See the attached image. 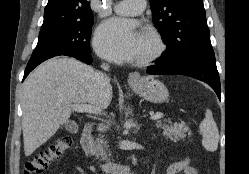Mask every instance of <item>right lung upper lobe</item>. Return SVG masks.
<instances>
[{
    "mask_svg": "<svg viewBox=\"0 0 249 174\" xmlns=\"http://www.w3.org/2000/svg\"><path fill=\"white\" fill-rule=\"evenodd\" d=\"M93 17L90 0H48L42 27Z\"/></svg>",
    "mask_w": 249,
    "mask_h": 174,
    "instance_id": "cb5924a9",
    "label": "right lung upper lobe"
}]
</instances>
